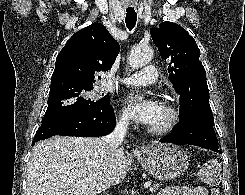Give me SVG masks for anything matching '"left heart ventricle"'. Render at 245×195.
Wrapping results in <instances>:
<instances>
[{
    "label": "left heart ventricle",
    "mask_w": 245,
    "mask_h": 195,
    "mask_svg": "<svg viewBox=\"0 0 245 195\" xmlns=\"http://www.w3.org/2000/svg\"><path fill=\"white\" fill-rule=\"evenodd\" d=\"M167 118H168L167 111L163 108V106L159 105L157 116L149 126L150 127L159 126L163 124L167 120Z\"/></svg>",
    "instance_id": "left-heart-ventricle-1"
}]
</instances>
